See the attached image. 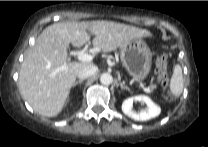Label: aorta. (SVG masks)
I'll use <instances>...</instances> for the list:
<instances>
[{"mask_svg": "<svg viewBox=\"0 0 208 147\" xmlns=\"http://www.w3.org/2000/svg\"><path fill=\"white\" fill-rule=\"evenodd\" d=\"M100 82H101L103 85H110V84H112V82H113V77H112V75H110L109 73H103V74L100 76Z\"/></svg>", "mask_w": 208, "mask_h": 147, "instance_id": "obj_1", "label": "aorta"}]
</instances>
